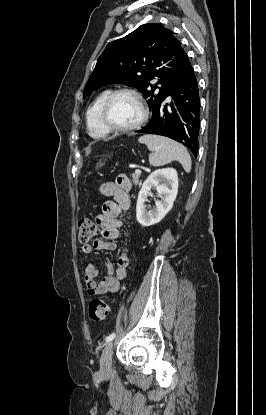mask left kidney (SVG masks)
Listing matches in <instances>:
<instances>
[{
  "label": "left kidney",
  "instance_id": "obj_1",
  "mask_svg": "<svg viewBox=\"0 0 266 415\" xmlns=\"http://www.w3.org/2000/svg\"><path fill=\"white\" fill-rule=\"evenodd\" d=\"M153 187L161 198L156 201V208L147 210V198ZM178 193V174L173 168L157 169L145 180L138 194L136 204V218L142 226H151L159 223L173 207Z\"/></svg>",
  "mask_w": 266,
  "mask_h": 415
}]
</instances>
